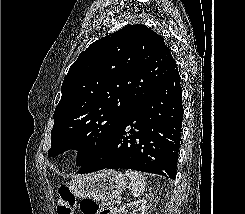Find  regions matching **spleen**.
<instances>
[{"instance_id": "obj_1", "label": "spleen", "mask_w": 245, "mask_h": 214, "mask_svg": "<svg viewBox=\"0 0 245 214\" xmlns=\"http://www.w3.org/2000/svg\"><path fill=\"white\" fill-rule=\"evenodd\" d=\"M125 175L131 181L129 189L132 195L136 198L140 197L144 193L146 187L145 176L142 173L133 170H127Z\"/></svg>"}]
</instances>
